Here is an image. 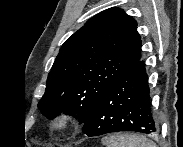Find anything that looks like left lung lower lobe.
Returning a JSON list of instances; mask_svg holds the SVG:
<instances>
[{
    "mask_svg": "<svg viewBox=\"0 0 183 147\" xmlns=\"http://www.w3.org/2000/svg\"><path fill=\"white\" fill-rule=\"evenodd\" d=\"M119 131L158 133L151 112L148 76L141 60L109 86L83 126L89 137Z\"/></svg>",
    "mask_w": 183,
    "mask_h": 147,
    "instance_id": "left-lung-lower-lobe-1",
    "label": "left lung lower lobe"
}]
</instances>
